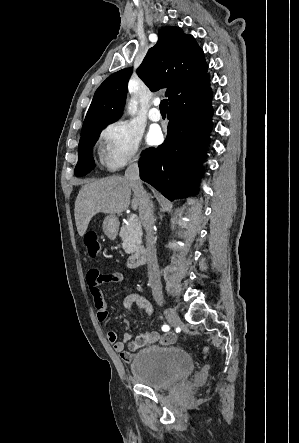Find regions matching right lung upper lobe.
I'll return each mask as SVG.
<instances>
[{"instance_id":"right-lung-upper-lobe-1","label":"right lung upper lobe","mask_w":299,"mask_h":443,"mask_svg":"<svg viewBox=\"0 0 299 443\" xmlns=\"http://www.w3.org/2000/svg\"><path fill=\"white\" fill-rule=\"evenodd\" d=\"M155 46L150 48L137 69L138 76L151 91L167 87L169 103L207 75L202 49L191 35L179 27L162 28ZM132 68L113 73L96 90L86 114L81 136L118 120L127 95Z\"/></svg>"}]
</instances>
